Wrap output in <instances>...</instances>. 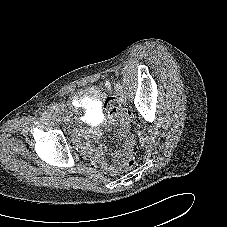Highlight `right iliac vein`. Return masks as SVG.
Returning <instances> with one entry per match:
<instances>
[{"mask_svg": "<svg viewBox=\"0 0 227 227\" xmlns=\"http://www.w3.org/2000/svg\"><path fill=\"white\" fill-rule=\"evenodd\" d=\"M51 119L54 120V121H60V118L57 115H53L51 117Z\"/></svg>", "mask_w": 227, "mask_h": 227, "instance_id": "63e3f726", "label": "right iliac vein"}]
</instances>
